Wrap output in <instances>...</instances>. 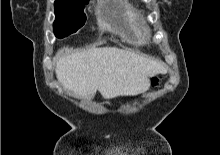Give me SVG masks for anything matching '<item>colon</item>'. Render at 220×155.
Here are the masks:
<instances>
[{"label":"colon","instance_id":"5ec220e1","mask_svg":"<svg viewBox=\"0 0 220 155\" xmlns=\"http://www.w3.org/2000/svg\"><path fill=\"white\" fill-rule=\"evenodd\" d=\"M160 83V77H153L151 79V85L152 87H157Z\"/></svg>","mask_w":220,"mask_h":155}]
</instances>
